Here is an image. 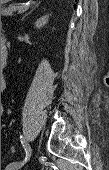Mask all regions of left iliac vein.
Instances as JSON below:
<instances>
[{"label":"left iliac vein","instance_id":"left-iliac-vein-1","mask_svg":"<svg viewBox=\"0 0 109 170\" xmlns=\"http://www.w3.org/2000/svg\"><path fill=\"white\" fill-rule=\"evenodd\" d=\"M29 159H23V160H19V161H15L10 163L5 170H19L21 167H23Z\"/></svg>","mask_w":109,"mask_h":170}]
</instances>
